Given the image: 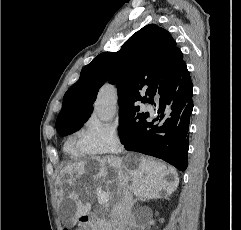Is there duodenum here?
<instances>
[{
  "mask_svg": "<svg viewBox=\"0 0 241 230\" xmlns=\"http://www.w3.org/2000/svg\"><path fill=\"white\" fill-rule=\"evenodd\" d=\"M94 221H95V217L93 215H89V214H84L80 218V224L82 226H89Z\"/></svg>",
  "mask_w": 241,
  "mask_h": 230,
  "instance_id": "410a0bca",
  "label": "duodenum"
}]
</instances>
